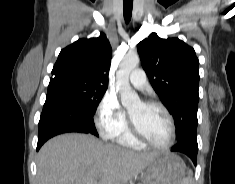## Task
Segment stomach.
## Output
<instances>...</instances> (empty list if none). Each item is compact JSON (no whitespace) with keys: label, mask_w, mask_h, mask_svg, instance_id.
Segmentation results:
<instances>
[{"label":"stomach","mask_w":235,"mask_h":184,"mask_svg":"<svg viewBox=\"0 0 235 184\" xmlns=\"http://www.w3.org/2000/svg\"><path fill=\"white\" fill-rule=\"evenodd\" d=\"M186 170L185 162L179 156L161 154L147 166L142 184H182Z\"/></svg>","instance_id":"1"}]
</instances>
